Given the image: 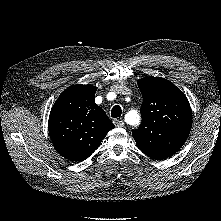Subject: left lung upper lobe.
I'll use <instances>...</instances> for the list:
<instances>
[{"mask_svg": "<svg viewBox=\"0 0 221 221\" xmlns=\"http://www.w3.org/2000/svg\"><path fill=\"white\" fill-rule=\"evenodd\" d=\"M143 96L142 123L132 135L138 148L152 159H166L187 140L192 110L187 98L172 82L161 77L137 81Z\"/></svg>", "mask_w": 221, "mask_h": 221, "instance_id": "obj_1", "label": "left lung upper lobe"}]
</instances>
